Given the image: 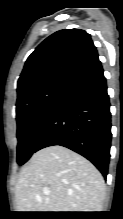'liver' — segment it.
Returning <instances> with one entry per match:
<instances>
[{"label": "liver", "instance_id": "1", "mask_svg": "<svg viewBox=\"0 0 123 219\" xmlns=\"http://www.w3.org/2000/svg\"><path fill=\"white\" fill-rule=\"evenodd\" d=\"M15 197L17 212H100L105 182L83 156L54 145L34 153L22 168Z\"/></svg>", "mask_w": 123, "mask_h": 219}]
</instances>
